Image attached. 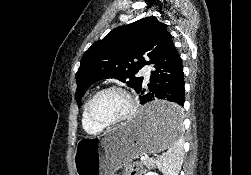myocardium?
<instances>
[{
	"instance_id": "myocardium-1",
	"label": "myocardium",
	"mask_w": 251,
	"mask_h": 175,
	"mask_svg": "<svg viewBox=\"0 0 251 175\" xmlns=\"http://www.w3.org/2000/svg\"><path fill=\"white\" fill-rule=\"evenodd\" d=\"M111 90H118V91H121L122 93L125 94L128 102H129V110L126 113V115L123 118H121L120 120H118L116 122L108 123V122L101 120L100 118H98L94 114L93 107H94L95 101L97 100V98L101 94H103L104 92H107V91H111ZM137 108H138V106H137L135 99L133 98V96L131 95V93L127 89H125L124 87H122L120 85H109V86H106V87L96 91L91 96V98L89 99L88 104H87V116H88V119L93 124H95L97 126H100L104 129L114 128V127H118L120 125H123L126 122H129L131 119H133L137 113Z\"/></svg>"
}]
</instances>
